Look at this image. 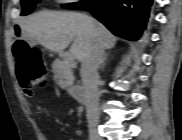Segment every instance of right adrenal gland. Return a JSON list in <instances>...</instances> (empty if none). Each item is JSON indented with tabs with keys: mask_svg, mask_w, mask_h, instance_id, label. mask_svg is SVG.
<instances>
[{
	"mask_svg": "<svg viewBox=\"0 0 182 140\" xmlns=\"http://www.w3.org/2000/svg\"><path fill=\"white\" fill-rule=\"evenodd\" d=\"M107 57H108V54H107V53H105V54H104V57H103V60H102V63H101V69H103V68H104V66H105V62H106V60H107Z\"/></svg>",
	"mask_w": 182,
	"mask_h": 140,
	"instance_id": "1",
	"label": "right adrenal gland"
}]
</instances>
